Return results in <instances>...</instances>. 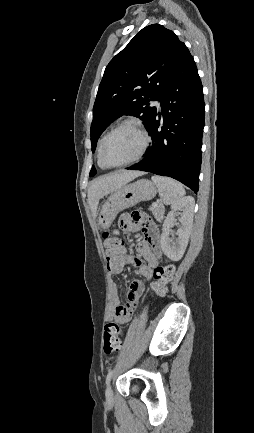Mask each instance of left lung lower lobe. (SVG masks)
<instances>
[{
  "label": "left lung lower lobe",
  "mask_w": 254,
  "mask_h": 433,
  "mask_svg": "<svg viewBox=\"0 0 254 433\" xmlns=\"http://www.w3.org/2000/svg\"><path fill=\"white\" fill-rule=\"evenodd\" d=\"M160 102L163 118L156 113L147 129L152 145L144 159L127 169L172 177L197 193L205 103L197 67L189 51Z\"/></svg>",
  "instance_id": "left-lung-lower-lobe-1"
}]
</instances>
